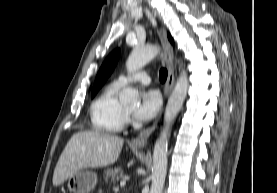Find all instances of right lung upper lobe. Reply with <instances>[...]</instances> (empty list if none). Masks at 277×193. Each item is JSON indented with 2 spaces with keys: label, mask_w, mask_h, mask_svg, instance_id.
Here are the masks:
<instances>
[{
  "label": "right lung upper lobe",
  "mask_w": 277,
  "mask_h": 193,
  "mask_svg": "<svg viewBox=\"0 0 277 193\" xmlns=\"http://www.w3.org/2000/svg\"><path fill=\"white\" fill-rule=\"evenodd\" d=\"M168 38H169L170 42L173 44V40L170 35H168Z\"/></svg>",
  "instance_id": "1"
}]
</instances>
